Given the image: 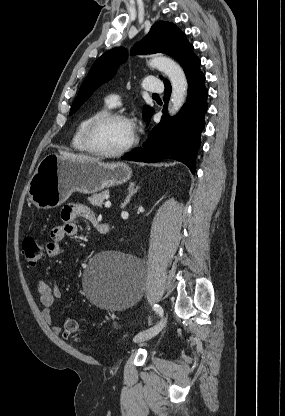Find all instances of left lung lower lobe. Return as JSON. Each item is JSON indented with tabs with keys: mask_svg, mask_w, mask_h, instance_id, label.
<instances>
[{
	"mask_svg": "<svg viewBox=\"0 0 285 416\" xmlns=\"http://www.w3.org/2000/svg\"><path fill=\"white\" fill-rule=\"evenodd\" d=\"M183 69L188 80V100L180 113L175 117L162 116L161 122L152 129L143 146L135 148L121 159L146 163L174 159L183 162L192 173L195 172L194 159L205 126L208 90L205 87V75L200 70V59L195 57ZM164 84V101L168 102L171 84L169 81Z\"/></svg>",
	"mask_w": 285,
	"mask_h": 416,
	"instance_id": "0a47b994",
	"label": "left lung lower lobe"
}]
</instances>
